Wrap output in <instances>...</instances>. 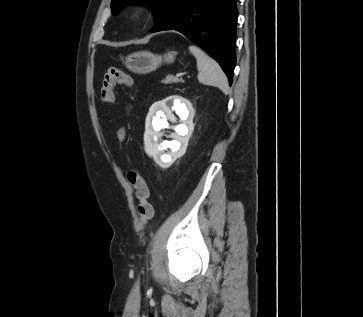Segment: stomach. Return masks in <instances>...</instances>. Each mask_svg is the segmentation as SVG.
<instances>
[{"mask_svg": "<svg viewBox=\"0 0 363 317\" xmlns=\"http://www.w3.org/2000/svg\"><path fill=\"white\" fill-rule=\"evenodd\" d=\"M174 57V52H168L162 57L149 51H139L128 55L124 64L132 72L146 74L156 70L163 62H174Z\"/></svg>", "mask_w": 363, "mask_h": 317, "instance_id": "obj_1", "label": "stomach"}]
</instances>
